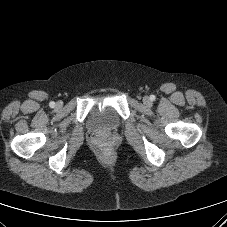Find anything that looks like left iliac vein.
Segmentation results:
<instances>
[{"label": "left iliac vein", "mask_w": 227, "mask_h": 227, "mask_svg": "<svg viewBox=\"0 0 227 227\" xmlns=\"http://www.w3.org/2000/svg\"><path fill=\"white\" fill-rule=\"evenodd\" d=\"M143 102H144L145 105H148V106L151 105V100L148 96H145L143 98Z\"/></svg>", "instance_id": "left-iliac-vein-1"}]
</instances>
